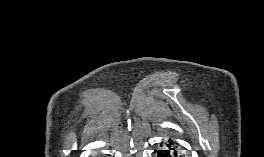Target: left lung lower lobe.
Listing matches in <instances>:
<instances>
[{"label":"left lung lower lobe","instance_id":"0a47b994","mask_svg":"<svg viewBox=\"0 0 264 157\" xmlns=\"http://www.w3.org/2000/svg\"><path fill=\"white\" fill-rule=\"evenodd\" d=\"M162 149L156 150L154 157H186L183 155L177 146L174 145L173 141L161 144Z\"/></svg>","mask_w":264,"mask_h":157}]
</instances>
